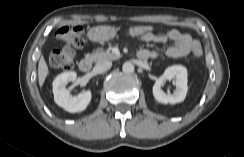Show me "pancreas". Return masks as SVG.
<instances>
[{
    "label": "pancreas",
    "mask_w": 244,
    "mask_h": 157,
    "mask_svg": "<svg viewBox=\"0 0 244 157\" xmlns=\"http://www.w3.org/2000/svg\"><path fill=\"white\" fill-rule=\"evenodd\" d=\"M94 62H101L104 60H116L119 59V55H115L114 53L110 52L109 50L106 51H95L89 55Z\"/></svg>",
    "instance_id": "obj_1"
}]
</instances>
